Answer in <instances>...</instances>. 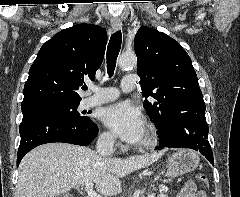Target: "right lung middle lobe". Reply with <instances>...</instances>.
I'll list each match as a JSON object with an SVG mask.
<instances>
[{
	"mask_svg": "<svg viewBox=\"0 0 240 197\" xmlns=\"http://www.w3.org/2000/svg\"><path fill=\"white\" fill-rule=\"evenodd\" d=\"M80 101L74 102H48L36 107L34 109H45L58 113L70 122L78 125L85 126L91 122L90 118L82 116L78 111Z\"/></svg>",
	"mask_w": 240,
	"mask_h": 197,
	"instance_id": "obj_1",
	"label": "right lung middle lobe"
}]
</instances>
